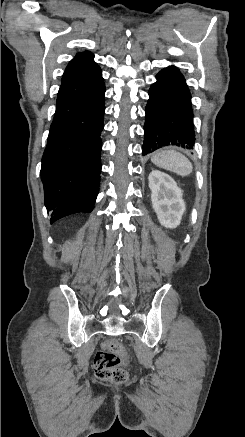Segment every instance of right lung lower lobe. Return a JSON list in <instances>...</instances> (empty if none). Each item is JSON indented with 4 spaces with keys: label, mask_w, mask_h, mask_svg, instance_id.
<instances>
[{
    "label": "right lung lower lobe",
    "mask_w": 245,
    "mask_h": 437,
    "mask_svg": "<svg viewBox=\"0 0 245 437\" xmlns=\"http://www.w3.org/2000/svg\"><path fill=\"white\" fill-rule=\"evenodd\" d=\"M105 86L101 81L57 96L42 157L41 179L51 223L94 208L101 173Z\"/></svg>",
    "instance_id": "1"
}]
</instances>
